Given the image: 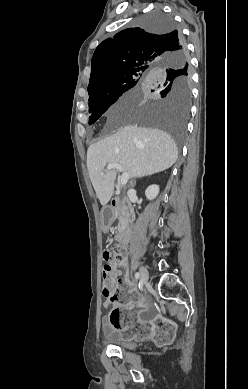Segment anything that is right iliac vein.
<instances>
[{"label": "right iliac vein", "instance_id": "63e3f726", "mask_svg": "<svg viewBox=\"0 0 248 389\" xmlns=\"http://www.w3.org/2000/svg\"><path fill=\"white\" fill-rule=\"evenodd\" d=\"M140 277H141V281L142 283H146L148 281V277H149V274H148V270L142 266L140 267Z\"/></svg>", "mask_w": 248, "mask_h": 389}]
</instances>
